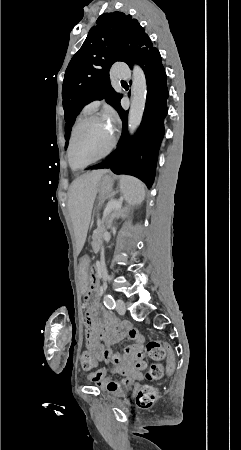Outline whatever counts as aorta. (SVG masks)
Segmentation results:
<instances>
[{
    "label": "aorta",
    "instance_id": "obj_1",
    "mask_svg": "<svg viewBox=\"0 0 241 450\" xmlns=\"http://www.w3.org/2000/svg\"><path fill=\"white\" fill-rule=\"evenodd\" d=\"M147 83L143 70L135 65L131 87V105L128 115V130L130 135L139 128L145 110Z\"/></svg>",
    "mask_w": 241,
    "mask_h": 450
}]
</instances>
